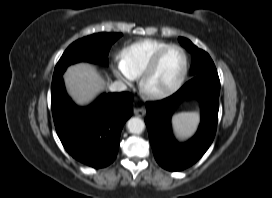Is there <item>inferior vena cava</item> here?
Wrapping results in <instances>:
<instances>
[{
	"label": "inferior vena cava",
	"instance_id": "602c4592",
	"mask_svg": "<svg viewBox=\"0 0 272 198\" xmlns=\"http://www.w3.org/2000/svg\"><path fill=\"white\" fill-rule=\"evenodd\" d=\"M111 92H122L127 90V86L122 81H115L109 87Z\"/></svg>",
	"mask_w": 272,
	"mask_h": 198
}]
</instances>
